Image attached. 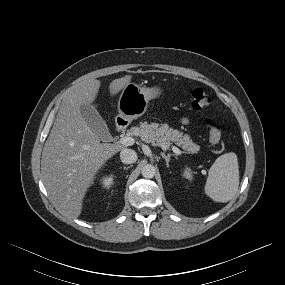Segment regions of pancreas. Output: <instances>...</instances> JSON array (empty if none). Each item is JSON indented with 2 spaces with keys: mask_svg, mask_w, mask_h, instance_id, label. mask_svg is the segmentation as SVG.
<instances>
[{
  "mask_svg": "<svg viewBox=\"0 0 285 285\" xmlns=\"http://www.w3.org/2000/svg\"><path fill=\"white\" fill-rule=\"evenodd\" d=\"M129 133L139 136L142 141L150 143L153 146H165L169 148L174 142L177 146L183 148L188 153H197L200 146L193 143L188 134H183L178 130H174L167 124L141 123L137 127H133Z\"/></svg>",
  "mask_w": 285,
  "mask_h": 285,
  "instance_id": "obj_1",
  "label": "pancreas"
}]
</instances>
